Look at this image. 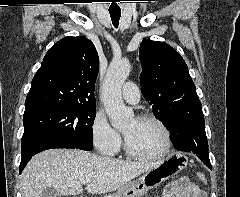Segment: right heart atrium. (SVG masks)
<instances>
[{"label": "right heart atrium", "mask_w": 240, "mask_h": 197, "mask_svg": "<svg viewBox=\"0 0 240 197\" xmlns=\"http://www.w3.org/2000/svg\"><path fill=\"white\" fill-rule=\"evenodd\" d=\"M90 135L94 148L103 155L116 154L122 145L120 133L111 126L105 114L101 112L96 113L92 120Z\"/></svg>", "instance_id": "1"}]
</instances>
